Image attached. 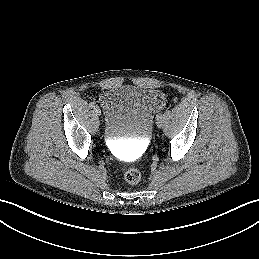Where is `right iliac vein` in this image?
<instances>
[{"label":"right iliac vein","mask_w":259,"mask_h":259,"mask_svg":"<svg viewBox=\"0 0 259 259\" xmlns=\"http://www.w3.org/2000/svg\"><path fill=\"white\" fill-rule=\"evenodd\" d=\"M100 113V111L99 110H96V114L98 115Z\"/></svg>","instance_id":"obj_1"}]
</instances>
